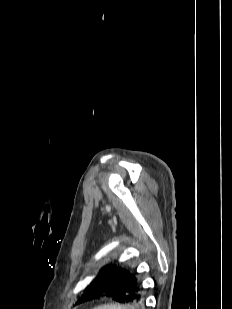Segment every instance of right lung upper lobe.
<instances>
[{
  "label": "right lung upper lobe",
  "instance_id": "1",
  "mask_svg": "<svg viewBox=\"0 0 232 309\" xmlns=\"http://www.w3.org/2000/svg\"><path fill=\"white\" fill-rule=\"evenodd\" d=\"M117 266L116 265H113V266H107L105 267L102 271H105V270H114V271H117Z\"/></svg>",
  "mask_w": 232,
  "mask_h": 309
}]
</instances>
